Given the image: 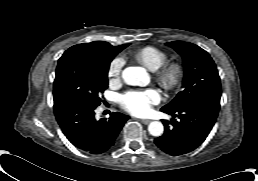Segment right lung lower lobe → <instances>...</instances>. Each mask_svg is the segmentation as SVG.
Returning a JSON list of instances; mask_svg holds the SVG:
<instances>
[{
  "mask_svg": "<svg viewBox=\"0 0 258 181\" xmlns=\"http://www.w3.org/2000/svg\"><path fill=\"white\" fill-rule=\"evenodd\" d=\"M95 108L77 103L54 106V113L67 139L78 149L100 154L114 145L129 116L112 113L109 119L96 120Z\"/></svg>",
  "mask_w": 258,
  "mask_h": 181,
  "instance_id": "obj_1",
  "label": "right lung lower lobe"
}]
</instances>
